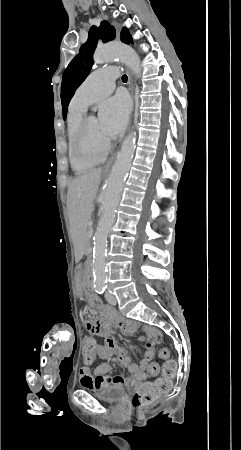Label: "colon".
<instances>
[{
    "instance_id": "1",
    "label": "colon",
    "mask_w": 241,
    "mask_h": 450,
    "mask_svg": "<svg viewBox=\"0 0 241 450\" xmlns=\"http://www.w3.org/2000/svg\"><path fill=\"white\" fill-rule=\"evenodd\" d=\"M84 343V341H83ZM80 351L84 353L86 364L93 366L95 364V353H97V346L93 343L87 342L80 346ZM159 356L162 359H166L169 356V350L166 347H162L159 350ZM164 376L158 378L154 382L144 383L135 392L132 405L135 409L144 410L152 407L170 388L169 377L176 370V365L172 361L167 360L162 366ZM159 368L155 363L150 364L145 369V374L149 377H154L158 374Z\"/></svg>"
}]
</instances>
